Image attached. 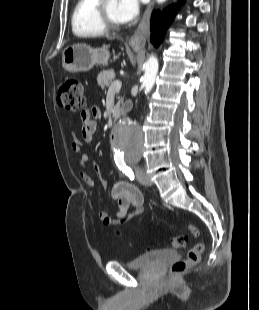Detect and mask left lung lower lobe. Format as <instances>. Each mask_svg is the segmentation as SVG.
Masks as SVG:
<instances>
[{"mask_svg":"<svg viewBox=\"0 0 259 310\" xmlns=\"http://www.w3.org/2000/svg\"><path fill=\"white\" fill-rule=\"evenodd\" d=\"M183 0H180L181 4ZM176 13L174 6L165 9L163 12L154 11L151 18V36L150 41L154 46H158L165 33V27H168Z\"/></svg>","mask_w":259,"mask_h":310,"instance_id":"1","label":"left lung lower lobe"}]
</instances>
